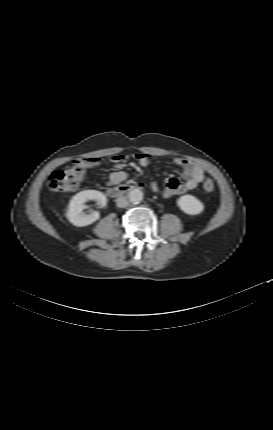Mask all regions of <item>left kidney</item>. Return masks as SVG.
Segmentation results:
<instances>
[{
    "mask_svg": "<svg viewBox=\"0 0 273 430\" xmlns=\"http://www.w3.org/2000/svg\"><path fill=\"white\" fill-rule=\"evenodd\" d=\"M178 207L188 215H197L204 210L203 203L193 195H183L177 201Z\"/></svg>",
    "mask_w": 273,
    "mask_h": 430,
    "instance_id": "left-kidney-1",
    "label": "left kidney"
}]
</instances>
